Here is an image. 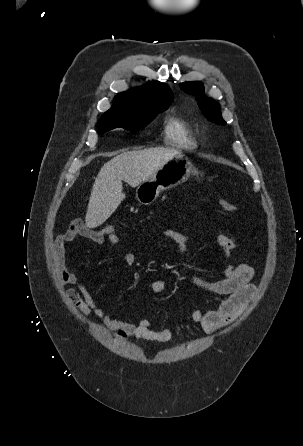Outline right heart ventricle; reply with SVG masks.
Masks as SVG:
<instances>
[{
    "label": "right heart ventricle",
    "instance_id": "1",
    "mask_svg": "<svg viewBox=\"0 0 303 446\" xmlns=\"http://www.w3.org/2000/svg\"><path fill=\"white\" fill-rule=\"evenodd\" d=\"M163 138L166 145L179 149L191 150L198 146L194 127L178 115H171L166 119Z\"/></svg>",
    "mask_w": 303,
    "mask_h": 446
}]
</instances>
